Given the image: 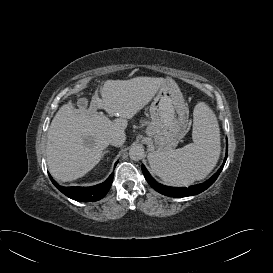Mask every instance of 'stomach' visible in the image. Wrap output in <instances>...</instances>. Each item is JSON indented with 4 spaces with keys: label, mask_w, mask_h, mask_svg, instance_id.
I'll return each mask as SVG.
<instances>
[{
    "label": "stomach",
    "mask_w": 273,
    "mask_h": 273,
    "mask_svg": "<svg viewBox=\"0 0 273 273\" xmlns=\"http://www.w3.org/2000/svg\"><path fill=\"white\" fill-rule=\"evenodd\" d=\"M146 133L157 151L173 150L186 133L189 111L175 81L166 79L150 105Z\"/></svg>",
    "instance_id": "0dacf381"
}]
</instances>
